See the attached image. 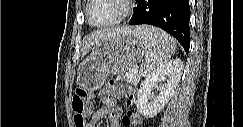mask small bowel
<instances>
[{
    "instance_id": "1",
    "label": "small bowel",
    "mask_w": 243,
    "mask_h": 127,
    "mask_svg": "<svg viewBox=\"0 0 243 127\" xmlns=\"http://www.w3.org/2000/svg\"><path fill=\"white\" fill-rule=\"evenodd\" d=\"M122 115V108L114 98H103L102 105L94 112L91 120L85 125L86 127H95L106 117L110 127H118Z\"/></svg>"
}]
</instances>
